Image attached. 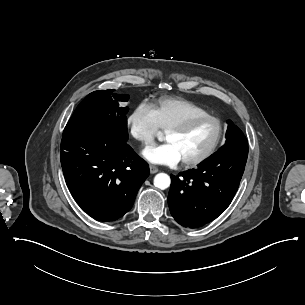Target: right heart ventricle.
Masks as SVG:
<instances>
[{"label": "right heart ventricle", "mask_w": 305, "mask_h": 305, "mask_svg": "<svg viewBox=\"0 0 305 305\" xmlns=\"http://www.w3.org/2000/svg\"><path fill=\"white\" fill-rule=\"evenodd\" d=\"M159 127L167 129L170 125L189 117L205 115L208 112L195 103L180 97L163 96L150 103Z\"/></svg>", "instance_id": "1"}]
</instances>
